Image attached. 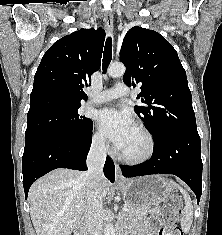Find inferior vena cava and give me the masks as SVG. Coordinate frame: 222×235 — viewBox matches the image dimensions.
Wrapping results in <instances>:
<instances>
[{"label":"inferior vena cava","instance_id":"inferior-vena-cava-1","mask_svg":"<svg viewBox=\"0 0 222 235\" xmlns=\"http://www.w3.org/2000/svg\"><path fill=\"white\" fill-rule=\"evenodd\" d=\"M106 160L105 140H95L87 156L86 176L87 208L85 213V234L102 235V192L103 166Z\"/></svg>","mask_w":222,"mask_h":235}]
</instances>
